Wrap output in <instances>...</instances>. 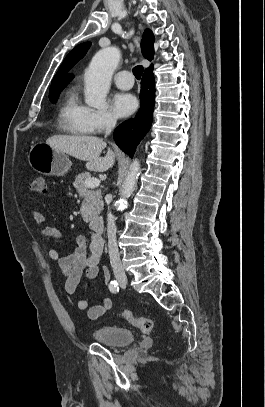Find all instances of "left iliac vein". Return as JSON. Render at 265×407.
<instances>
[{
	"label": "left iliac vein",
	"mask_w": 265,
	"mask_h": 407,
	"mask_svg": "<svg viewBox=\"0 0 265 407\" xmlns=\"http://www.w3.org/2000/svg\"><path fill=\"white\" fill-rule=\"evenodd\" d=\"M122 288H125V285H122Z\"/></svg>",
	"instance_id": "left-iliac-vein-1"
}]
</instances>
